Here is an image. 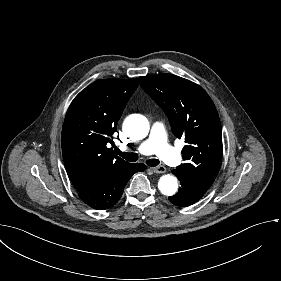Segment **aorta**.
Masks as SVG:
<instances>
[{"label": "aorta", "instance_id": "1", "mask_svg": "<svg viewBox=\"0 0 281 281\" xmlns=\"http://www.w3.org/2000/svg\"><path fill=\"white\" fill-rule=\"evenodd\" d=\"M125 132L133 139L140 140L149 133V122L142 115H132L124 122ZM158 188L163 195L172 196L178 188L177 178L173 175H163L158 182Z\"/></svg>", "mask_w": 281, "mask_h": 281}]
</instances>
